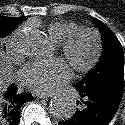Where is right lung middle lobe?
Segmentation results:
<instances>
[{
	"instance_id": "dd1d6c3e",
	"label": "right lung middle lobe",
	"mask_w": 125,
	"mask_h": 125,
	"mask_svg": "<svg viewBox=\"0 0 125 125\" xmlns=\"http://www.w3.org/2000/svg\"><path fill=\"white\" fill-rule=\"evenodd\" d=\"M25 18L0 16V37H5ZM3 96H0V106L4 104Z\"/></svg>"
}]
</instances>
